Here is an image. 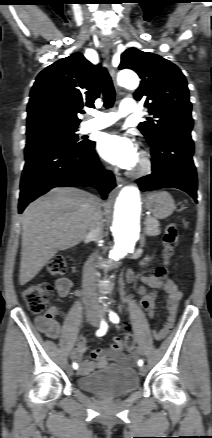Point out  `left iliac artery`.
Here are the masks:
<instances>
[{"label": "left iliac artery", "instance_id": "44dca946", "mask_svg": "<svg viewBox=\"0 0 212 438\" xmlns=\"http://www.w3.org/2000/svg\"><path fill=\"white\" fill-rule=\"evenodd\" d=\"M109 318H110V321H112L113 323H118L119 322V317H118V315L116 314V313H114L113 311H110V313H109ZM143 360H139L138 361V365L139 366H142L143 365Z\"/></svg>", "mask_w": 212, "mask_h": 438}]
</instances>
